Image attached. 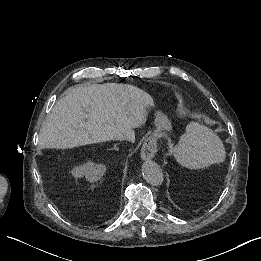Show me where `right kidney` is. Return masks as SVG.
Listing matches in <instances>:
<instances>
[{
  "label": "right kidney",
  "instance_id": "ca27d5eb",
  "mask_svg": "<svg viewBox=\"0 0 261 261\" xmlns=\"http://www.w3.org/2000/svg\"><path fill=\"white\" fill-rule=\"evenodd\" d=\"M106 166L104 164H95L86 162L83 165L76 166L71 173L75 178L85 177L89 182H96L105 174Z\"/></svg>",
  "mask_w": 261,
  "mask_h": 261
}]
</instances>
